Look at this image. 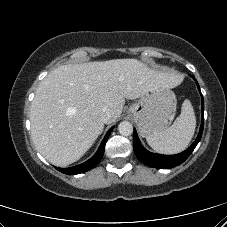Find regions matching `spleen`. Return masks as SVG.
<instances>
[{"instance_id": "spleen-1", "label": "spleen", "mask_w": 227, "mask_h": 227, "mask_svg": "<svg viewBox=\"0 0 227 227\" xmlns=\"http://www.w3.org/2000/svg\"><path fill=\"white\" fill-rule=\"evenodd\" d=\"M196 127L194 109L189 100L182 104L181 114L167 129L147 136L149 146L162 154H176L183 151L190 143Z\"/></svg>"}]
</instances>
